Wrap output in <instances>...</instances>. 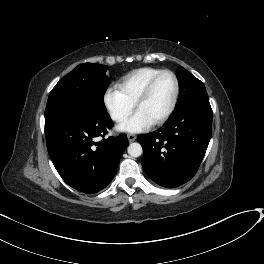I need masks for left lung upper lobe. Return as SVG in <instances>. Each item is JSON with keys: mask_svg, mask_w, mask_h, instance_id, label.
Here are the masks:
<instances>
[{"mask_svg": "<svg viewBox=\"0 0 264 264\" xmlns=\"http://www.w3.org/2000/svg\"><path fill=\"white\" fill-rule=\"evenodd\" d=\"M176 76L179 82L180 93L175 110L192 99L208 97L204 84L185 68L180 66Z\"/></svg>", "mask_w": 264, "mask_h": 264, "instance_id": "obj_1", "label": "left lung upper lobe"}]
</instances>
